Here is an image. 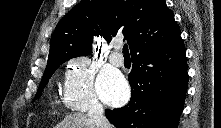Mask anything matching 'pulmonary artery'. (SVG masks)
Returning a JSON list of instances; mask_svg holds the SVG:
<instances>
[{
	"label": "pulmonary artery",
	"mask_w": 221,
	"mask_h": 128,
	"mask_svg": "<svg viewBox=\"0 0 221 128\" xmlns=\"http://www.w3.org/2000/svg\"><path fill=\"white\" fill-rule=\"evenodd\" d=\"M114 48H115V51L110 54L109 61L112 65L117 66V67H121L124 64V59L119 53L121 45L116 44L114 46Z\"/></svg>",
	"instance_id": "e3ab8cb5"
}]
</instances>
